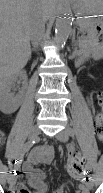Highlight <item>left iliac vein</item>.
Masks as SVG:
<instances>
[{"label":"left iliac vein","mask_w":103,"mask_h":193,"mask_svg":"<svg viewBox=\"0 0 103 193\" xmlns=\"http://www.w3.org/2000/svg\"><path fill=\"white\" fill-rule=\"evenodd\" d=\"M56 138H57L60 142H63V143L67 142V141H68V138H69V134H68L67 129L59 132V133L56 135ZM87 185H88L89 188H92V187H93V182H92V181H89Z\"/></svg>","instance_id":"left-iliac-vein-1"}]
</instances>
